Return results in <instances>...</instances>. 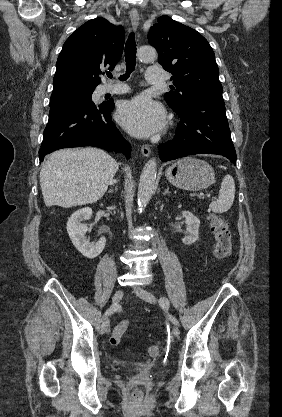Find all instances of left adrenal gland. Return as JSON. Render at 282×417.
I'll return each mask as SVG.
<instances>
[{
  "mask_svg": "<svg viewBox=\"0 0 282 417\" xmlns=\"http://www.w3.org/2000/svg\"><path fill=\"white\" fill-rule=\"evenodd\" d=\"M167 192H169V186H167L165 192H163V194H167Z\"/></svg>",
  "mask_w": 282,
  "mask_h": 417,
  "instance_id": "left-adrenal-gland-1",
  "label": "left adrenal gland"
}]
</instances>
